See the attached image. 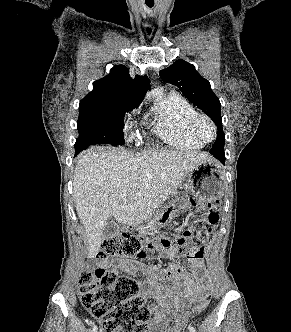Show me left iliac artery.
Returning a JSON list of instances; mask_svg holds the SVG:
<instances>
[{
    "label": "left iliac artery",
    "mask_w": 291,
    "mask_h": 332,
    "mask_svg": "<svg viewBox=\"0 0 291 332\" xmlns=\"http://www.w3.org/2000/svg\"><path fill=\"white\" fill-rule=\"evenodd\" d=\"M188 329H189L190 332H196L195 328L192 327V326H189Z\"/></svg>",
    "instance_id": "1"
}]
</instances>
